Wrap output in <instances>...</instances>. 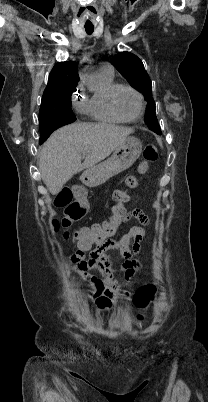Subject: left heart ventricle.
Returning <instances> with one entry per match:
<instances>
[{
	"mask_svg": "<svg viewBox=\"0 0 208 402\" xmlns=\"http://www.w3.org/2000/svg\"><path fill=\"white\" fill-rule=\"evenodd\" d=\"M115 105L118 112L126 118L137 116L140 110L139 98L127 89H122L117 93Z\"/></svg>",
	"mask_w": 208,
	"mask_h": 402,
	"instance_id": "obj_1",
	"label": "left heart ventricle"
}]
</instances>
